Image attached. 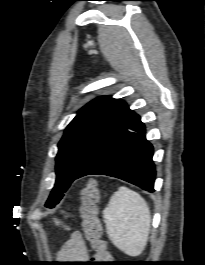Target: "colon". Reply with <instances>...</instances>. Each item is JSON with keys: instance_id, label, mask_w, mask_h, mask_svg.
Instances as JSON below:
<instances>
[{"instance_id": "obj_1", "label": "colon", "mask_w": 205, "mask_h": 265, "mask_svg": "<svg viewBox=\"0 0 205 265\" xmlns=\"http://www.w3.org/2000/svg\"><path fill=\"white\" fill-rule=\"evenodd\" d=\"M99 190L95 180H89L80 189L79 214L81 225L87 240L94 252L92 265H104L110 260L107 242L102 235V227L98 216ZM54 224L63 226L61 219H55Z\"/></svg>"}]
</instances>
